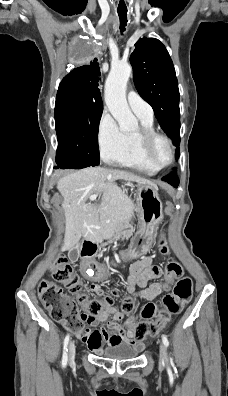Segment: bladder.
<instances>
[{
    "label": "bladder",
    "instance_id": "1",
    "mask_svg": "<svg viewBox=\"0 0 228 396\" xmlns=\"http://www.w3.org/2000/svg\"><path fill=\"white\" fill-rule=\"evenodd\" d=\"M140 353V350L129 343H117L110 344L105 347L100 355L104 358L113 360H132L136 358Z\"/></svg>",
    "mask_w": 228,
    "mask_h": 396
}]
</instances>
